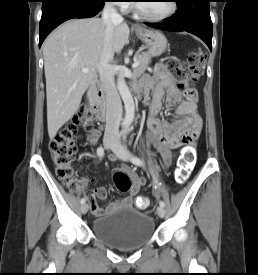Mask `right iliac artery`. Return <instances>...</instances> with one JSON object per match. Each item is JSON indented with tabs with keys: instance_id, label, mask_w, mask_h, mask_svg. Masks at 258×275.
<instances>
[{
	"instance_id": "obj_1",
	"label": "right iliac artery",
	"mask_w": 258,
	"mask_h": 275,
	"mask_svg": "<svg viewBox=\"0 0 258 275\" xmlns=\"http://www.w3.org/2000/svg\"><path fill=\"white\" fill-rule=\"evenodd\" d=\"M97 155L99 156V158H102L104 156V149L103 147H98L97 148ZM81 204H84L85 203V199L82 198L81 201H80Z\"/></svg>"
}]
</instances>
